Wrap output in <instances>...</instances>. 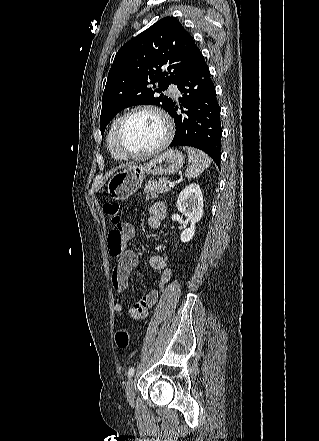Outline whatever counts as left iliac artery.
Segmentation results:
<instances>
[{"label":"left iliac artery","mask_w":319,"mask_h":441,"mask_svg":"<svg viewBox=\"0 0 319 441\" xmlns=\"http://www.w3.org/2000/svg\"><path fill=\"white\" fill-rule=\"evenodd\" d=\"M134 371H135V368H134V367H131V368L128 370V372H127V376H128L129 379L134 375Z\"/></svg>","instance_id":"44dca946"}]
</instances>
